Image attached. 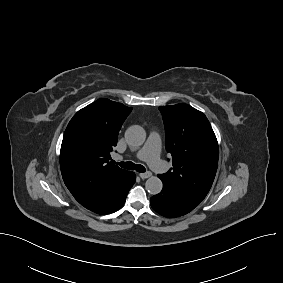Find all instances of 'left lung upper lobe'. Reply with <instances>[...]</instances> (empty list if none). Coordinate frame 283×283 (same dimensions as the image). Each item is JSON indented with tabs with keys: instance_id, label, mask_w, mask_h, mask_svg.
<instances>
[{
	"instance_id": "1",
	"label": "left lung upper lobe",
	"mask_w": 283,
	"mask_h": 283,
	"mask_svg": "<svg viewBox=\"0 0 283 283\" xmlns=\"http://www.w3.org/2000/svg\"><path fill=\"white\" fill-rule=\"evenodd\" d=\"M165 147L173 168L159 176L199 205L209 192L218 166V143L206 116L187 104L159 107Z\"/></svg>"
}]
</instances>
